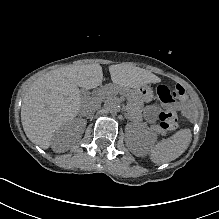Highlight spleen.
I'll return each instance as SVG.
<instances>
[{
  "label": "spleen",
  "instance_id": "1",
  "mask_svg": "<svg viewBox=\"0 0 219 219\" xmlns=\"http://www.w3.org/2000/svg\"><path fill=\"white\" fill-rule=\"evenodd\" d=\"M190 129H182L172 137L163 139L155 146L149 148L150 158L156 164L166 163L175 160L188 148L191 141Z\"/></svg>",
  "mask_w": 219,
  "mask_h": 219
}]
</instances>
